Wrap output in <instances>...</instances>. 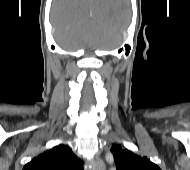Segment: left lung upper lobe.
<instances>
[{"mask_svg": "<svg viewBox=\"0 0 190 170\" xmlns=\"http://www.w3.org/2000/svg\"><path fill=\"white\" fill-rule=\"evenodd\" d=\"M117 170H160L147 157H141L128 149L114 146L111 149Z\"/></svg>", "mask_w": 190, "mask_h": 170, "instance_id": "left-lung-upper-lobe-1", "label": "left lung upper lobe"}]
</instances>
